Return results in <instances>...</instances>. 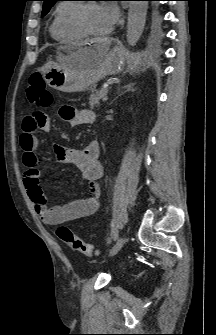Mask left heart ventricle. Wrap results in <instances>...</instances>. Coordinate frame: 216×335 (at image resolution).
Here are the masks:
<instances>
[{
  "label": "left heart ventricle",
  "instance_id": "obj_1",
  "mask_svg": "<svg viewBox=\"0 0 216 335\" xmlns=\"http://www.w3.org/2000/svg\"><path fill=\"white\" fill-rule=\"evenodd\" d=\"M86 23L90 30L102 33L108 30L107 23L98 4L91 5L86 12Z\"/></svg>",
  "mask_w": 216,
  "mask_h": 335
}]
</instances>
